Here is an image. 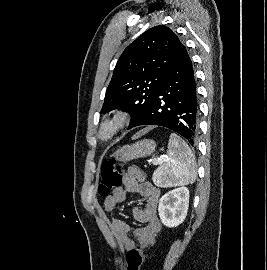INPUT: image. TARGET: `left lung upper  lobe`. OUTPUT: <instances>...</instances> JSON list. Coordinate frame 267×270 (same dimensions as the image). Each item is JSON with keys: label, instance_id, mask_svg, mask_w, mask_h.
<instances>
[{"label": "left lung upper lobe", "instance_id": "5c2ea615", "mask_svg": "<svg viewBox=\"0 0 267 270\" xmlns=\"http://www.w3.org/2000/svg\"><path fill=\"white\" fill-rule=\"evenodd\" d=\"M181 44L164 25L150 28L131 43L116 64L101 113L128 111V129L133 128L153 101Z\"/></svg>", "mask_w": 267, "mask_h": 270}]
</instances>
